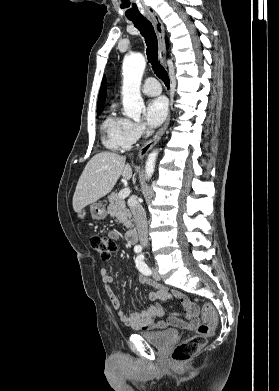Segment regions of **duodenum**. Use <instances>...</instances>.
<instances>
[{"mask_svg": "<svg viewBox=\"0 0 279 391\" xmlns=\"http://www.w3.org/2000/svg\"><path fill=\"white\" fill-rule=\"evenodd\" d=\"M126 240L130 243V244H136L139 240V234H138V230L136 228H131L127 234H126Z\"/></svg>", "mask_w": 279, "mask_h": 391, "instance_id": "obj_1", "label": "duodenum"}]
</instances>
